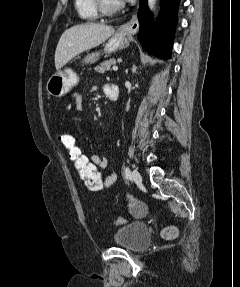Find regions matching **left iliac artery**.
Listing matches in <instances>:
<instances>
[{"instance_id":"44dca946","label":"left iliac artery","mask_w":240,"mask_h":287,"mask_svg":"<svg viewBox=\"0 0 240 287\" xmlns=\"http://www.w3.org/2000/svg\"><path fill=\"white\" fill-rule=\"evenodd\" d=\"M131 176L130 169L128 167L125 168V177L128 179Z\"/></svg>"}]
</instances>
